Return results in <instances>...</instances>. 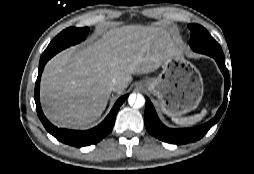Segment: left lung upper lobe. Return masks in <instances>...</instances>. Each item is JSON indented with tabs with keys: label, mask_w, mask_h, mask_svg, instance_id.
I'll return each mask as SVG.
<instances>
[{
	"label": "left lung upper lobe",
	"mask_w": 254,
	"mask_h": 174,
	"mask_svg": "<svg viewBox=\"0 0 254 174\" xmlns=\"http://www.w3.org/2000/svg\"><path fill=\"white\" fill-rule=\"evenodd\" d=\"M191 31L190 47L196 51L209 56H224L220 45L207 32V30L198 24H189Z\"/></svg>",
	"instance_id": "left-lung-upper-lobe-1"
}]
</instances>
